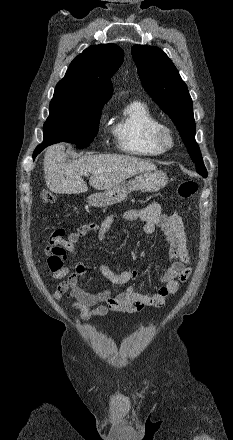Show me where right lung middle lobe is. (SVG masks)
Instances as JSON below:
<instances>
[{
  "label": "right lung middle lobe",
  "mask_w": 233,
  "mask_h": 440,
  "mask_svg": "<svg viewBox=\"0 0 233 440\" xmlns=\"http://www.w3.org/2000/svg\"><path fill=\"white\" fill-rule=\"evenodd\" d=\"M104 105L88 103L51 102L50 114L44 127L42 144L74 143L84 148L98 132L101 110Z\"/></svg>",
  "instance_id": "dd1d6c3e"
}]
</instances>
